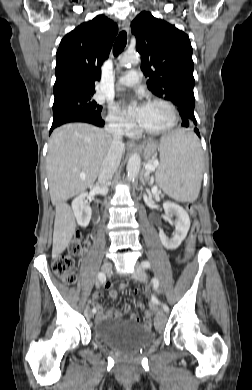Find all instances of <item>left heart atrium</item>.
<instances>
[{
    "mask_svg": "<svg viewBox=\"0 0 252 390\" xmlns=\"http://www.w3.org/2000/svg\"><path fill=\"white\" fill-rule=\"evenodd\" d=\"M144 107V104H139L138 108L136 109L135 113L133 114V117L139 121L140 119V116H141V112H142V109Z\"/></svg>",
    "mask_w": 252,
    "mask_h": 390,
    "instance_id": "39dd6f15",
    "label": "left heart atrium"
}]
</instances>
